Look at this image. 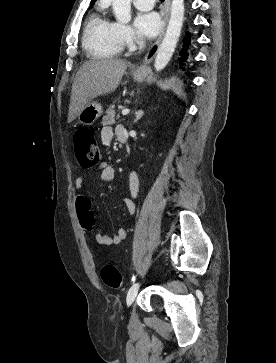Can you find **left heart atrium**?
<instances>
[{
    "label": "left heart atrium",
    "instance_id": "1",
    "mask_svg": "<svg viewBox=\"0 0 276 363\" xmlns=\"http://www.w3.org/2000/svg\"><path fill=\"white\" fill-rule=\"evenodd\" d=\"M139 37L143 39L154 38L161 28V19L156 12H139L134 21Z\"/></svg>",
    "mask_w": 276,
    "mask_h": 363
}]
</instances>
